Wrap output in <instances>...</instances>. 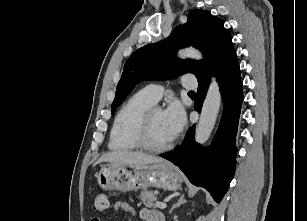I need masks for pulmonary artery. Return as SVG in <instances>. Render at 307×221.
<instances>
[{"label": "pulmonary artery", "instance_id": "e3ab8cb5", "mask_svg": "<svg viewBox=\"0 0 307 221\" xmlns=\"http://www.w3.org/2000/svg\"><path fill=\"white\" fill-rule=\"evenodd\" d=\"M183 87L193 89L197 87V83L193 75H185L182 79ZM141 92L153 103H157L163 96L165 89L159 84H149L145 86Z\"/></svg>", "mask_w": 307, "mask_h": 221}]
</instances>
